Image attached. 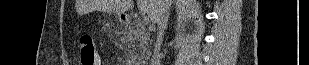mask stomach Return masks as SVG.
Returning <instances> with one entry per match:
<instances>
[{
	"instance_id": "0dacf381",
	"label": "stomach",
	"mask_w": 309,
	"mask_h": 65,
	"mask_svg": "<svg viewBox=\"0 0 309 65\" xmlns=\"http://www.w3.org/2000/svg\"><path fill=\"white\" fill-rule=\"evenodd\" d=\"M118 21L120 22V23H124L125 22V17L123 16V15H118Z\"/></svg>"
}]
</instances>
